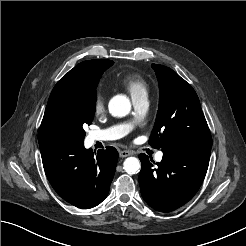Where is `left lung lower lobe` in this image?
I'll use <instances>...</instances> for the list:
<instances>
[{"label": "left lung lower lobe", "mask_w": 246, "mask_h": 246, "mask_svg": "<svg viewBox=\"0 0 246 246\" xmlns=\"http://www.w3.org/2000/svg\"><path fill=\"white\" fill-rule=\"evenodd\" d=\"M157 167L140 154L139 185L143 199L153 209L171 212L188 201L200 188L209 165L210 147L171 146L162 149Z\"/></svg>", "instance_id": "obj_1"}]
</instances>
